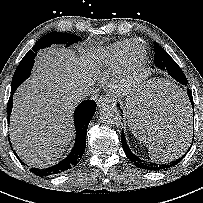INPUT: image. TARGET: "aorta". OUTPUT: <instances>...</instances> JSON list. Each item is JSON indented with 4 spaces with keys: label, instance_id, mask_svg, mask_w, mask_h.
Returning a JSON list of instances; mask_svg holds the SVG:
<instances>
[{
    "label": "aorta",
    "instance_id": "aorta-1",
    "mask_svg": "<svg viewBox=\"0 0 203 203\" xmlns=\"http://www.w3.org/2000/svg\"><path fill=\"white\" fill-rule=\"evenodd\" d=\"M99 114L102 122L107 125L117 126L121 123V114L115 106L106 105L100 109Z\"/></svg>",
    "mask_w": 203,
    "mask_h": 203
}]
</instances>
